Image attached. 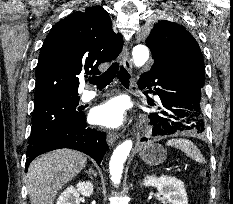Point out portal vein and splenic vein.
I'll return each instance as SVG.
<instances>
[{"label":"portal vein and splenic vein","instance_id":"obj_1","mask_svg":"<svg viewBox=\"0 0 233 204\" xmlns=\"http://www.w3.org/2000/svg\"><path fill=\"white\" fill-rule=\"evenodd\" d=\"M175 168H176V170H178V171L180 170L179 166H176Z\"/></svg>","mask_w":233,"mask_h":204}]
</instances>
